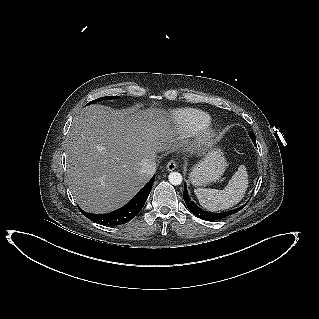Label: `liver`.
<instances>
[{
	"label": "liver",
	"mask_w": 319,
	"mask_h": 319,
	"mask_svg": "<svg viewBox=\"0 0 319 319\" xmlns=\"http://www.w3.org/2000/svg\"><path fill=\"white\" fill-rule=\"evenodd\" d=\"M168 117L164 109L114 110L99 104L74 117L64 145L68 184L83 210L114 211L150 180L141 161L178 146Z\"/></svg>",
	"instance_id": "liver-1"
}]
</instances>
